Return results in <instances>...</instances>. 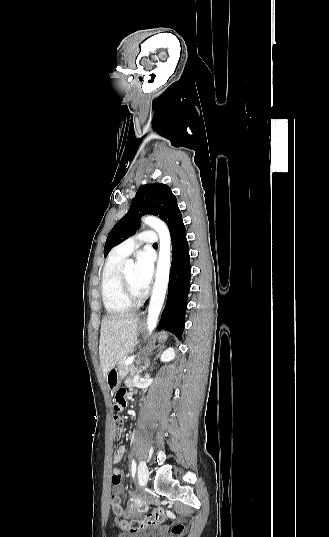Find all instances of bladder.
I'll return each instance as SVG.
<instances>
[{"mask_svg":"<svg viewBox=\"0 0 329 537\" xmlns=\"http://www.w3.org/2000/svg\"><path fill=\"white\" fill-rule=\"evenodd\" d=\"M154 530H144L131 533H120L116 537H151Z\"/></svg>","mask_w":329,"mask_h":537,"instance_id":"1","label":"bladder"}]
</instances>
